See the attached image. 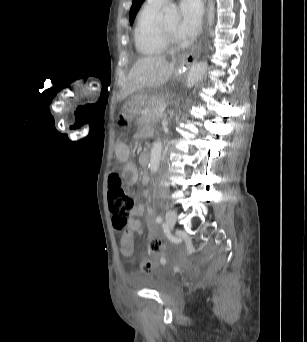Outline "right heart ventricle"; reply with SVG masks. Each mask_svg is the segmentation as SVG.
Masks as SVG:
<instances>
[{
  "label": "right heart ventricle",
  "mask_w": 307,
  "mask_h": 342,
  "mask_svg": "<svg viewBox=\"0 0 307 342\" xmlns=\"http://www.w3.org/2000/svg\"><path fill=\"white\" fill-rule=\"evenodd\" d=\"M157 11L148 8L139 11L133 31L134 48L142 58H153L163 53L156 42Z\"/></svg>",
  "instance_id": "right-heart-ventricle-1"
}]
</instances>
